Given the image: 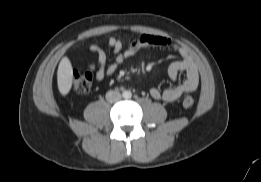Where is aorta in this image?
<instances>
[{"instance_id":"obj_1","label":"aorta","mask_w":261,"mask_h":182,"mask_svg":"<svg viewBox=\"0 0 261 182\" xmlns=\"http://www.w3.org/2000/svg\"><path fill=\"white\" fill-rule=\"evenodd\" d=\"M122 95L124 99H130L132 97L131 91H124Z\"/></svg>"}]
</instances>
